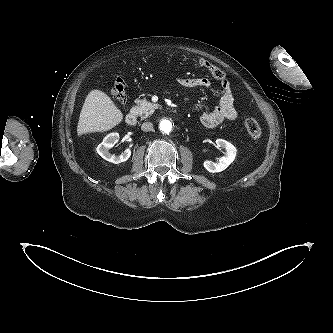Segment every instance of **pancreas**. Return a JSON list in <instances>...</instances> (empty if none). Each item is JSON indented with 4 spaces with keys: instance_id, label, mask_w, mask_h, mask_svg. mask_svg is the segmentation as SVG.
Returning <instances> with one entry per match:
<instances>
[{
    "instance_id": "1",
    "label": "pancreas",
    "mask_w": 333,
    "mask_h": 333,
    "mask_svg": "<svg viewBox=\"0 0 333 333\" xmlns=\"http://www.w3.org/2000/svg\"><path fill=\"white\" fill-rule=\"evenodd\" d=\"M136 104V111L143 119L147 118L155 111L156 108L159 107L158 104H154L146 99L137 100Z\"/></svg>"
}]
</instances>
